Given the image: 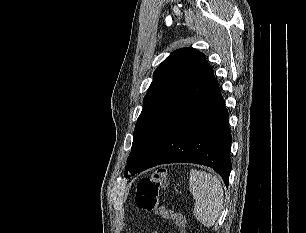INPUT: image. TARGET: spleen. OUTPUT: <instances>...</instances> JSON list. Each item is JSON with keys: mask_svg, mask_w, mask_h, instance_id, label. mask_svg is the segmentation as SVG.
Here are the masks:
<instances>
[{"mask_svg": "<svg viewBox=\"0 0 306 233\" xmlns=\"http://www.w3.org/2000/svg\"><path fill=\"white\" fill-rule=\"evenodd\" d=\"M189 190L195 200L193 214L196 220L207 228L214 226L224 200L220 180L210 173L192 169Z\"/></svg>", "mask_w": 306, "mask_h": 233, "instance_id": "obj_1", "label": "spleen"}]
</instances>
